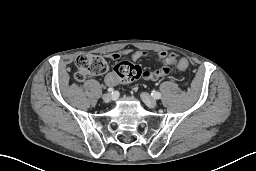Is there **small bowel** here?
I'll return each instance as SVG.
<instances>
[{
    "mask_svg": "<svg viewBox=\"0 0 256 171\" xmlns=\"http://www.w3.org/2000/svg\"><path fill=\"white\" fill-rule=\"evenodd\" d=\"M123 56H130L133 60H139L143 57L147 56V53L142 50H134V49H123L118 52L111 53L109 57L113 60H117ZM171 56L168 55L166 52H160L158 54V58L162 61L165 65L156 70H144L143 71V78L149 81H158L166 76H169L173 73V70L170 68L169 65L165 63L166 57ZM185 62L183 67H180V70H185L188 67V61L185 58H181ZM105 83L109 86H115L118 83V77L115 72H110L105 76L104 79Z\"/></svg>",
    "mask_w": 256,
    "mask_h": 171,
    "instance_id": "small-bowel-1",
    "label": "small bowel"
}]
</instances>
